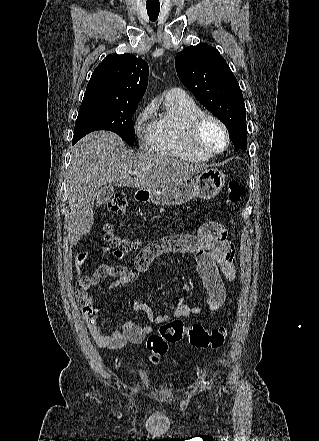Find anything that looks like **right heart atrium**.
<instances>
[{"instance_id": "obj_1", "label": "right heart atrium", "mask_w": 319, "mask_h": 441, "mask_svg": "<svg viewBox=\"0 0 319 441\" xmlns=\"http://www.w3.org/2000/svg\"><path fill=\"white\" fill-rule=\"evenodd\" d=\"M153 112L154 106L152 103H149L138 112L134 120L135 135L139 146L142 148L150 145L153 129Z\"/></svg>"}]
</instances>
